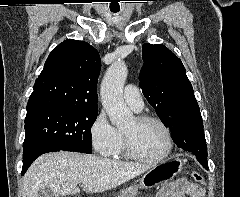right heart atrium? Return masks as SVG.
I'll list each match as a JSON object with an SVG mask.
<instances>
[{
	"mask_svg": "<svg viewBox=\"0 0 240 197\" xmlns=\"http://www.w3.org/2000/svg\"><path fill=\"white\" fill-rule=\"evenodd\" d=\"M89 139L93 150L101 156H110L119 142V132L110 124L104 111L94 117L89 127Z\"/></svg>",
	"mask_w": 240,
	"mask_h": 197,
	"instance_id": "right-heart-atrium-1",
	"label": "right heart atrium"
}]
</instances>
